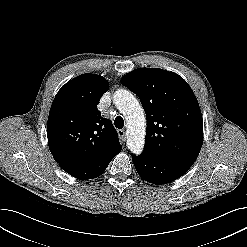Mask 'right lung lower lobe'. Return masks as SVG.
Listing matches in <instances>:
<instances>
[{
	"label": "right lung lower lobe",
	"mask_w": 247,
	"mask_h": 247,
	"mask_svg": "<svg viewBox=\"0 0 247 247\" xmlns=\"http://www.w3.org/2000/svg\"><path fill=\"white\" fill-rule=\"evenodd\" d=\"M118 153H114L106 158H104L103 160L89 165V166H61V168L66 171L67 173H69L70 175H72L73 177L82 179V180H86V179H91V178H95L100 176L105 169L107 168V166L109 165V163L111 162V160L117 155Z\"/></svg>",
	"instance_id": "right-lung-lower-lobe-1"
}]
</instances>
